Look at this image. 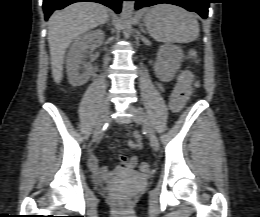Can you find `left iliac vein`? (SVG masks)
Listing matches in <instances>:
<instances>
[{
  "mask_svg": "<svg viewBox=\"0 0 260 217\" xmlns=\"http://www.w3.org/2000/svg\"><path fill=\"white\" fill-rule=\"evenodd\" d=\"M128 111L132 114L133 121L141 124L148 135L151 147L157 151L159 149V141L152 128L150 122L145 118L143 113L136 107L130 105Z\"/></svg>",
  "mask_w": 260,
  "mask_h": 217,
  "instance_id": "left-iliac-vein-1",
  "label": "left iliac vein"
}]
</instances>
